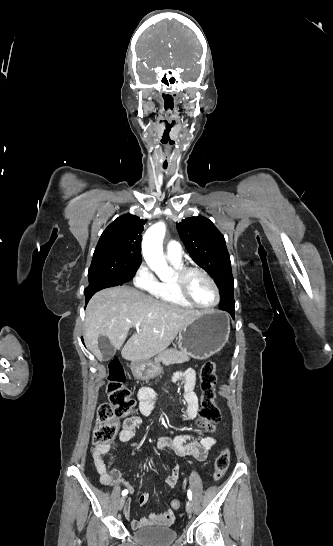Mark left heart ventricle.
Listing matches in <instances>:
<instances>
[{
  "label": "left heart ventricle",
  "mask_w": 333,
  "mask_h": 546,
  "mask_svg": "<svg viewBox=\"0 0 333 546\" xmlns=\"http://www.w3.org/2000/svg\"><path fill=\"white\" fill-rule=\"evenodd\" d=\"M187 289L191 297L200 304L210 305L216 299L212 285L200 273L193 272L188 276Z\"/></svg>",
  "instance_id": "obj_1"
}]
</instances>
